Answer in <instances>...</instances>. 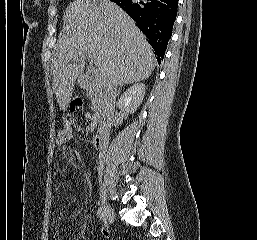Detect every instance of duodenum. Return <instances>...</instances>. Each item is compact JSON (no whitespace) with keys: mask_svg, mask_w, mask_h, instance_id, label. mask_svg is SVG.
I'll list each match as a JSON object with an SVG mask.
<instances>
[{"mask_svg":"<svg viewBox=\"0 0 257 240\" xmlns=\"http://www.w3.org/2000/svg\"><path fill=\"white\" fill-rule=\"evenodd\" d=\"M109 139V128L107 125H99L94 138L93 143L96 148L102 149L105 147Z\"/></svg>","mask_w":257,"mask_h":240,"instance_id":"1","label":"duodenum"}]
</instances>
